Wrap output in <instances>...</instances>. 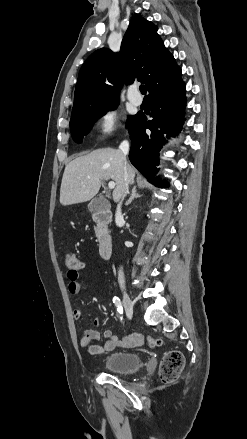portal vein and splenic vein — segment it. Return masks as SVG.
<instances>
[{"label":"portal vein and splenic vein","instance_id":"1","mask_svg":"<svg viewBox=\"0 0 247 439\" xmlns=\"http://www.w3.org/2000/svg\"><path fill=\"white\" fill-rule=\"evenodd\" d=\"M108 187L109 189H114L115 188V183L113 181L108 183Z\"/></svg>","mask_w":247,"mask_h":439}]
</instances>
